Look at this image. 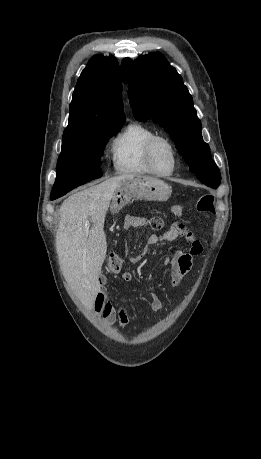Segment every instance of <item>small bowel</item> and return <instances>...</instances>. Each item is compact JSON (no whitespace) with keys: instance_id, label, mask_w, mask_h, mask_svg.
<instances>
[{"instance_id":"obj_1","label":"small bowel","mask_w":261,"mask_h":459,"mask_svg":"<svg viewBox=\"0 0 261 459\" xmlns=\"http://www.w3.org/2000/svg\"><path fill=\"white\" fill-rule=\"evenodd\" d=\"M148 221L143 217L129 216L124 221L125 229H132L138 227L147 226ZM183 237L191 246L190 253L176 252L172 258L165 261L166 265L170 266V277L171 286L177 287L180 285L184 277L190 272L193 262V257L202 251L200 241L188 230V228L180 223H174L164 233L157 235L151 234L148 237L147 243L149 245H156L164 242H172ZM121 278L125 282H130L133 276L130 272L126 271L121 275ZM102 285L108 282V277L102 276L100 278ZM147 291L150 292V307L154 312H160L163 310V304L159 297L151 292V288ZM96 310L102 315L107 323H114L119 321L123 328L129 325V315L124 307L115 306L107 297V293L104 287H102L96 297Z\"/></svg>"}]
</instances>
